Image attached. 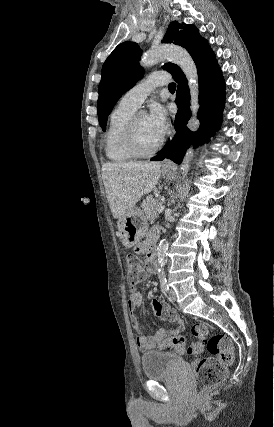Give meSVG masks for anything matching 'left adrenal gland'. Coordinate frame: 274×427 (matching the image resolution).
<instances>
[{"label":"left adrenal gland","instance_id":"a2214340","mask_svg":"<svg viewBox=\"0 0 274 427\" xmlns=\"http://www.w3.org/2000/svg\"><path fill=\"white\" fill-rule=\"evenodd\" d=\"M172 204H174V200H171Z\"/></svg>","mask_w":274,"mask_h":427}]
</instances>
